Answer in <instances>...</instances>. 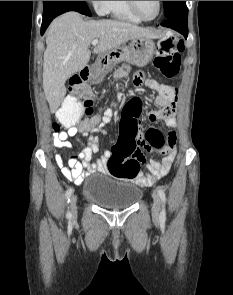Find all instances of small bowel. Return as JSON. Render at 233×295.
I'll list each match as a JSON object with an SVG mask.
<instances>
[{
    "instance_id": "1",
    "label": "small bowel",
    "mask_w": 233,
    "mask_h": 295,
    "mask_svg": "<svg viewBox=\"0 0 233 295\" xmlns=\"http://www.w3.org/2000/svg\"><path fill=\"white\" fill-rule=\"evenodd\" d=\"M145 77L142 72H139L135 81L139 84L144 81ZM154 103L159 109L151 111L148 118L151 122L161 121L167 127L174 128L177 125L176 107L177 97L167 98L157 95ZM142 108V100L138 97L133 98L125 107L124 111H129L133 117L138 120ZM113 111L107 109L104 111L99 123L96 127L86 129L82 124L69 125L66 131H62L53 138V150L56 152L59 149H71L72 145L69 138H77L79 133L89 134L88 143H82L83 149L78 153H69L67 156V165L64 164V157L61 154H56L55 161L60 168L62 174L76 185H81L85 177L95 172L109 173L108 162L111 158V152L105 150L98 156L95 162L92 161L93 155L99 152V138L96 132H103L105 126L112 120ZM167 146L163 154L164 157L159 161L151 159L148 163L147 174L139 172L133 181L140 187H150L156 181L166 176L169 172L175 157H176V133L171 131L166 137Z\"/></svg>"
}]
</instances>
